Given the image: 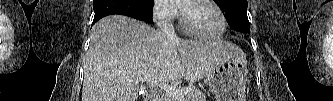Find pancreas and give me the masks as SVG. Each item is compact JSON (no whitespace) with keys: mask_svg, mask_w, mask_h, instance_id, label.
Instances as JSON below:
<instances>
[{"mask_svg":"<svg viewBox=\"0 0 333 101\" xmlns=\"http://www.w3.org/2000/svg\"><path fill=\"white\" fill-rule=\"evenodd\" d=\"M187 101H206L205 94L202 93L199 89L196 87H191L190 92L187 96ZM161 101H178L175 97L170 95L169 93H164L161 96Z\"/></svg>","mask_w":333,"mask_h":101,"instance_id":"1","label":"pancreas"}]
</instances>
